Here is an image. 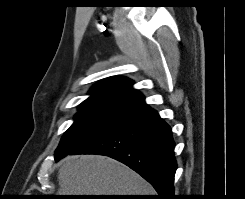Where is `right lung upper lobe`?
Segmentation results:
<instances>
[{"mask_svg": "<svg viewBox=\"0 0 245 199\" xmlns=\"http://www.w3.org/2000/svg\"><path fill=\"white\" fill-rule=\"evenodd\" d=\"M133 81L120 76H113L95 84L87 100L79 108H94L106 112L130 116L150 108L144 96L132 87Z\"/></svg>", "mask_w": 245, "mask_h": 199, "instance_id": "right-lung-upper-lobe-1", "label": "right lung upper lobe"}]
</instances>
